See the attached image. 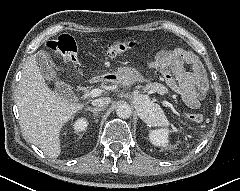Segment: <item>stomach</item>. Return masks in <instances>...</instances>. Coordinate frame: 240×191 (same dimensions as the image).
Masks as SVG:
<instances>
[{"mask_svg":"<svg viewBox=\"0 0 240 191\" xmlns=\"http://www.w3.org/2000/svg\"><path fill=\"white\" fill-rule=\"evenodd\" d=\"M104 76L108 77V81L121 84L123 86H129L136 82H144L146 79L141 75V73L132 67H120L116 72L107 73ZM145 108L140 106V111H143ZM145 111V110H144Z\"/></svg>","mask_w":240,"mask_h":191,"instance_id":"1","label":"stomach"}]
</instances>
